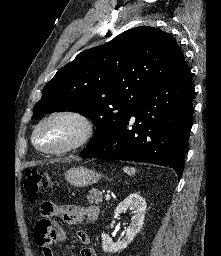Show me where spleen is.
Returning <instances> with one entry per match:
<instances>
[{
    "label": "spleen",
    "instance_id": "1",
    "mask_svg": "<svg viewBox=\"0 0 221 256\" xmlns=\"http://www.w3.org/2000/svg\"><path fill=\"white\" fill-rule=\"evenodd\" d=\"M124 171L130 176L135 175L136 173V169L134 167H124Z\"/></svg>",
    "mask_w": 221,
    "mask_h": 256
}]
</instances>
